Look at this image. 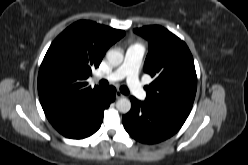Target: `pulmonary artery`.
<instances>
[{
  "label": "pulmonary artery",
  "instance_id": "obj_1",
  "mask_svg": "<svg viewBox=\"0 0 248 165\" xmlns=\"http://www.w3.org/2000/svg\"><path fill=\"white\" fill-rule=\"evenodd\" d=\"M145 48L141 44H132L126 51L123 63L113 72L103 76L108 81L115 82L126 79L130 91L140 100L146 98V91L139 81V67Z\"/></svg>",
  "mask_w": 248,
  "mask_h": 165
}]
</instances>
